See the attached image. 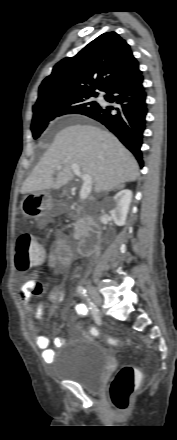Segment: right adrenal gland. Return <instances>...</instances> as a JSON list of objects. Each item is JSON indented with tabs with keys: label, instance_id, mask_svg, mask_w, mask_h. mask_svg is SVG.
<instances>
[{
	"label": "right adrenal gland",
	"instance_id": "2a0ac1e0",
	"mask_svg": "<svg viewBox=\"0 0 177 440\" xmlns=\"http://www.w3.org/2000/svg\"><path fill=\"white\" fill-rule=\"evenodd\" d=\"M123 188H124V184L119 185V186H116V187H114V188L108 190V191L106 192V195H107L108 192H110V191L120 190V189H123Z\"/></svg>",
	"mask_w": 177,
	"mask_h": 440
}]
</instances>
